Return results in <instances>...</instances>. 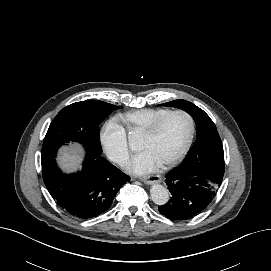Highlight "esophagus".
Masks as SVG:
<instances>
[{
    "label": "esophagus",
    "instance_id": "obj_1",
    "mask_svg": "<svg viewBox=\"0 0 271 271\" xmlns=\"http://www.w3.org/2000/svg\"><path fill=\"white\" fill-rule=\"evenodd\" d=\"M140 180L145 184H153L161 182L162 178L160 175H150L148 177H143Z\"/></svg>",
    "mask_w": 271,
    "mask_h": 271
}]
</instances>
